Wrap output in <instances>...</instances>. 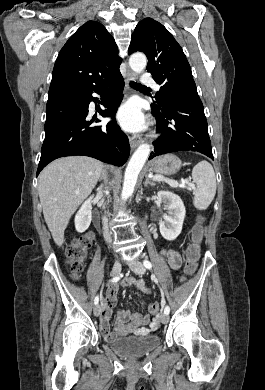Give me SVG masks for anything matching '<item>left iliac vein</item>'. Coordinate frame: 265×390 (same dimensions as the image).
<instances>
[{
	"label": "left iliac vein",
	"mask_w": 265,
	"mask_h": 390,
	"mask_svg": "<svg viewBox=\"0 0 265 390\" xmlns=\"http://www.w3.org/2000/svg\"><path fill=\"white\" fill-rule=\"evenodd\" d=\"M130 268L132 269V271L138 275H142L145 273L146 269L144 267V265L142 263H140L139 261H134L132 263H130ZM160 320L163 324H166L168 321H169V316L168 314L166 313H162L160 315Z\"/></svg>",
	"instance_id": "left-iliac-vein-1"
}]
</instances>
